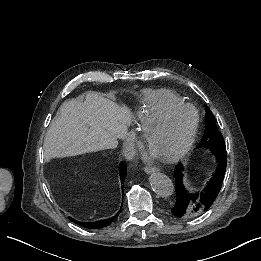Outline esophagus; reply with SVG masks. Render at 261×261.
<instances>
[{
	"instance_id": "esophagus-1",
	"label": "esophagus",
	"mask_w": 261,
	"mask_h": 261,
	"mask_svg": "<svg viewBox=\"0 0 261 261\" xmlns=\"http://www.w3.org/2000/svg\"><path fill=\"white\" fill-rule=\"evenodd\" d=\"M144 171H145L147 174H150V173H153V172H157V171H158V168H156V167H151V166H146V167H144Z\"/></svg>"
}]
</instances>
